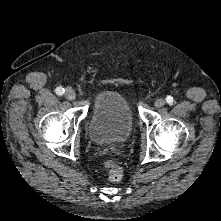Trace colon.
Masks as SVG:
<instances>
[{"mask_svg": "<svg viewBox=\"0 0 221 221\" xmlns=\"http://www.w3.org/2000/svg\"><path fill=\"white\" fill-rule=\"evenodd\" d=\"M104 166L112 182H119L123 178V168L117 162L107 161Z\"/></svg>", "mask_w": 221, "mask_h": 221, "instance_id": "5ec220e1", "label": "colon"}]
</instances>
